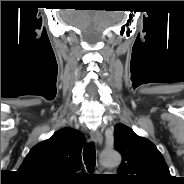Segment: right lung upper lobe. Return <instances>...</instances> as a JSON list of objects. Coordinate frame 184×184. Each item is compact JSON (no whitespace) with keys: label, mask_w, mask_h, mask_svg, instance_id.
I'll return each mask as SVG.
<instances>
[{"label":"right lung upper lobe","mask_w":184,"mask_h":184,"mask_svg":"<svg viewBox=\"0 0 184 184\" xmlns=\"http://www.w3.org/2000/svg\"><path fill=\"white\" fill-rule=\"evenodd\" d=\"M84 142L79 131L60 129L30 150L18 172L31 182L69 183L81 167Z\"/></svg>","instance_id":"1"}]
</instances>
